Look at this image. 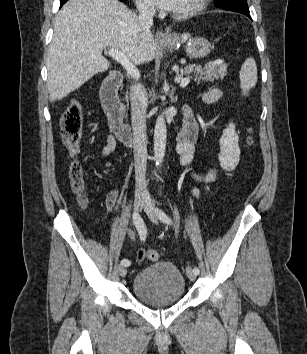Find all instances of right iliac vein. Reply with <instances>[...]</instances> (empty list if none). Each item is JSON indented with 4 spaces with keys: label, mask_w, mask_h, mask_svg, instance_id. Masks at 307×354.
<instances>
[{
    "label": "right iliac vein",
    "mask_w": 307,
    "mask_h": 354,
    "mask_svg": "<svg viewBox=\"0 0 307 354\" xmlns=\"http://www.w3.org/2000/svg\"><path fill=\"white\" fill-rule=\"evenodd\" d=\"M145 198L142 196H136L135 201H134V207L137 212L141 211V209L144 207L145 204ZM119 274L121 277H125L127 274V268L124 265L119 266Z\"/></svg>",
    "instance_id": "obj_1"
}]
</instances>
